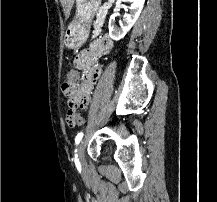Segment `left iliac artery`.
<instances>
[{"label": "left iliac artery", "instance_id": "obj_1", "mask_svg": "<svg viewBox=\"0 0 217 202\" xmlns=\"http://www.w3.org/2000/svg\"><path fill=\"white\" fill-rule=\"evenodd\" d=\"M82 137H83V133H82V132L77 134V136H76V138H75V144H76V145H78V144L80 143ZM75 152H76V150H75ZM75 160H77V159H76V155H75Z\"/></svg>", "mask_w": 217, "mask_h": 202}]
</instances>
